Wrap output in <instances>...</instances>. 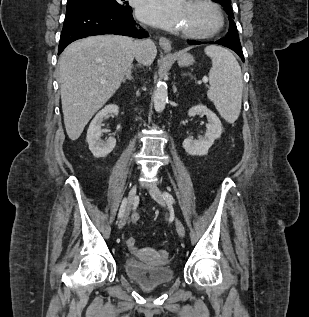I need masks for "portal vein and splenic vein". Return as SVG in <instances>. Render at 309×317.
<instances>
[{"label": "portal vein and splenic vein", "instance_id": "18ae733b", "mask_svg": "<svg viewBox=\"0 0 309 317\" xmlns=\"http://www.w3.org/2000/svg\"><path fill=\"white\" fill-rule=\"evenodd\" d=\"M203 82H204V83H207V79H203Z\"/></svg>", "mask_w": 309, "mask_h": 317}]
</instances>
